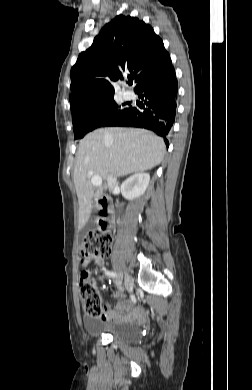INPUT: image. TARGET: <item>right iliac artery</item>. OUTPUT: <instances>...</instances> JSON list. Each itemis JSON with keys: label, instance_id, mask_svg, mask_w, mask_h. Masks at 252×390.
Wrapping results in <instances>:
<instances>
[{"label": "right iliac artery", "instance_id": "obj_1", "mask_svg": "<svg viewBox=\"0 0 252 390\" xmlns=\"http://www.w3.org/2000/svg\"><path fill=\"white\" fill-rule=\"evenodd\" d=\"M113 273H114V272H111V271L105 272V274H106L107 276L113 277V278H114ZM130 298H131V304H132V305H137V304H138V299L135 298L134 295H130ZM120 315H123V312H120Z\"/></svg>", "mask_w": 252, "mask_h": 390}]
</instances>
